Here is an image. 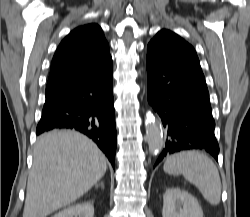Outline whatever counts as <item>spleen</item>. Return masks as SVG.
I'll list each match as a JSON object with an SVG mask.
<instances>
[{
	"label": "spleen",
	"instance_id": "3e777b00",
	"mask_svg": "<svg viewBox=\"0 0 250 217\" xmlns=\"http://www.w3.org/2000/svg\"><path fill=\"white\" fill-rule=\"evenodd\" d=\"M164 172L171 175L182 174L194 184L205 200L218 205L221 199V180L214 162L198 151H182L167 157Z\"/></svg>",
	"mask_w": 250,
	"mask_h": 217
}]
</instances>
